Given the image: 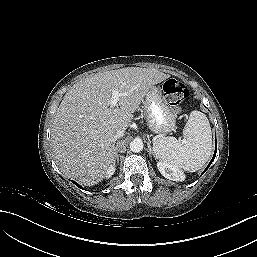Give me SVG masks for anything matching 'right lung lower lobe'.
I'll list each match as a JSON object with an SVG mask.
<instances>
[{"instance_id": "right-lung-lower-lobe-1", "label": "right lung lower lobe", "mask_w": 257, "mask_h": 257, "mask_svg": "<svg viewBox=\"0 0 257 257\" xmlns=\"http://www.w3.org/2000/svg\"><path fill=\"white\" fill-rule=\"evenodd\" d=\"M76 186H78L79 188H82L79 184H77L76 182L72 181Z\"/></svg>"}]
</instances>
